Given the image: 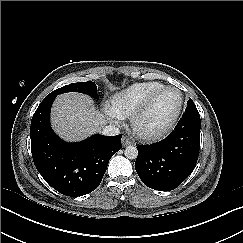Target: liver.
<instances>
[{
  "label": "liver",
  "mask_w": 243,
  "mask_h": 243,
  "mask_svg": "<svg viewBox=\"0 0 243 243\" xmlns=\"http://www.w3.org/2000/svg\"><path fill=\"white\" fill-rule=\"evenodd\" d=\"M106 122L105 116L96 110L93 100L84 94H61L53 104L52 127L66 141L83 140L99 132Z\"/></svg>",
  "instance_id": "6515ba94"
}]
</instances>
